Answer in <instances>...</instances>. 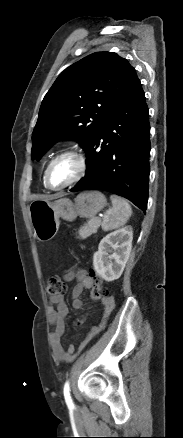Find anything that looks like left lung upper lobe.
I'll return each mask as SVG.
<instances>
[{"instance_id":"obj_1","label":"left lung upper lobe","mask_w":183,"mask_h":438,"mask_svg":"<svg viewBox=\"0 0 183 438\" xmlns=\"http://www.w3.org/2000/svg\"><path fill=\"white\" fill-rule=\"evenodd\" d=\"M135 69L113 52H96L65 69L45 95L32 134L39 159L61 137L85 150L99 125L128 93Z\"/></svg>"}]
</instances>
